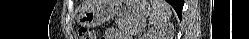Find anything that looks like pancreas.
I'll return each mask as SVG.
<instances>
[{"instance_id": "pancreas-1", "label": "pancreas", "mask_w": 249, "mask_h": 39, "mask_svg": "<svg viewBox=\"0 0 249 39\" xmlns=\"http://www.w3.org/2000/svg\"><path fill=\"white\" fill-rule=\"evenodd\" d=\"M116 25L123 34L136 35L142 31V22L140 20L130 18H119Z\"/></svg>"}]
</instances>
